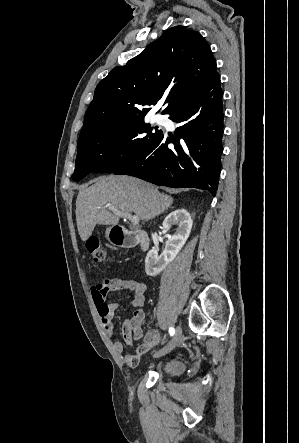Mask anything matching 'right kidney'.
Here are the masks:
<instances>
[{"mask_svg":"<svg viewBox=\"0 0 299 443\" xmlns=\"http://www.w3.org/2000/svg\"><path fill=\"white\" fill-rule=\"evenodd\" d=\"M193 221L185 209H177L171 212L163 221V228L170 230L173 225H178L176 233L169 236L165 249L161 256L158 251L152 249L147 253L145 259V271L148 276H156L174 260L181 248L187 241Z\"/></svg>","mask_w":299,"mask_h":443,"instance_id":"obj_1","label":"right kidney"}]
</instances>
